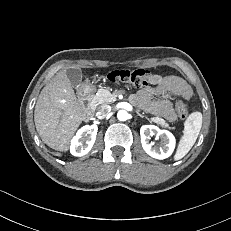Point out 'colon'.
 <instances>
[{"mask_svg":"<svg viewBox=\"0 0 231 231\" xmlns=\"http://www.w3.org/2000/svg\"><path fill=\"white\" fill-rule=\"evenodd\" d=\"M154 76H156L155 72L147 69H123L110 72L108 79L114 83L141 88L146 86ZM176 111L181 119H185L188 116L187 106L182 101L176 103Z\"/></svg>","mask_w":231,"mask_h":231,"instance_id":"1","label":"colon"}]
</instances>
